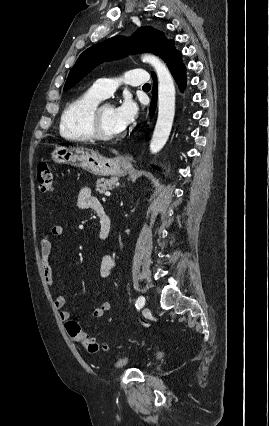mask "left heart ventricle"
Masks as SVG:
<instances>
[{"label": "left heart ventricle", "mask_w": 269, "mask_h": 426, "mask_svg": "<svg viewBox=\"0 0 269 426\" xmlns=\"http://www.w3.org/2000/svg\"><path fill=\"white\" fill-rule=\"evenodd\" d=\"M100 122L103 132L108 136H117L123 131L117 126L114 118V108L110 105L104 106L101 110Z\"/></svg>", "instance_id": "1"}]
</instances>
